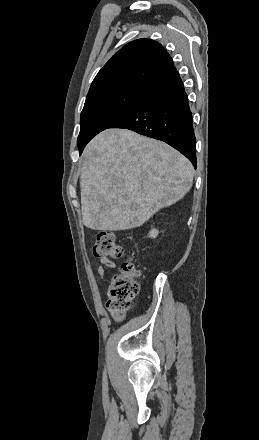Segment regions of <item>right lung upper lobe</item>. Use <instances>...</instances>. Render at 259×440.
Wrapping results in <instances>:
<instances>
[{
    "label": "right lung upper lobe",
    "mask_w": 259,
    "mask_h": 440,
    "mask_svg": "<svg viewBox=\"0 0 259 440\" xmlns=\"http://www.w3.org/2000/svg\"><path fill=\"white\" fill-rule=\"evenodd\" d=\"M173 68V61L161 44L145 38L134 40L98 72L86 101L122 89L149 90Z\"/></svg>",
    "instance_id": "1"
}]
</instances>
